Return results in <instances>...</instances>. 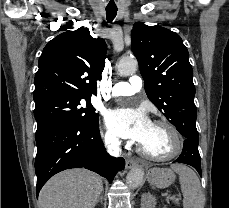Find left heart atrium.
<instances>
[{
    "label": "left heart atrium",
    "instance_id": "obj_1",
    "mask_svg": "<svg viewBox=\"0 0 229 208\" xmlns=\"http://www.w3.org/2000/svg\"><path fill=\"white\" fill-rule=\"evenodd\" d=\"M106 122L108 127L117 135L142 142L152 125L143 110L120 108L108 113Z\"/></svg>",
    "mask_w": 229,
    "mask_h": 208
}]
</instances>
